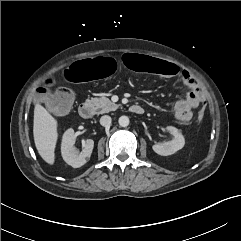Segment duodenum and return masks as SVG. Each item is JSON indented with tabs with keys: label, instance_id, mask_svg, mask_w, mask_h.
<instances>
[{
	"label": "duodenum",
	"instance_id": "obj_1",
	"mask_svg": "<svg viewBox=\"0 0 241 241\" xmlns=\"http://www.w3.org/2000/svg\"><path fill=\"white\" fill-rule=\"evenodd\" d=\"M129 110L134 114H143L144 108L140 105H131ZM79 115L84 119H89L92 116V105L89 102H83L79 106Z\"/></svg>",
	"mask_w": 241,
	"mask_h": 241
}]
</instances>
